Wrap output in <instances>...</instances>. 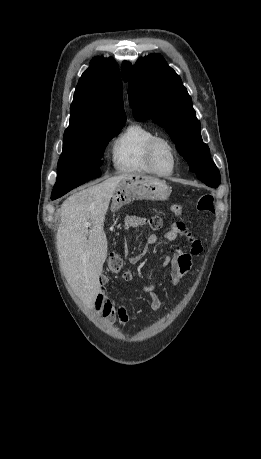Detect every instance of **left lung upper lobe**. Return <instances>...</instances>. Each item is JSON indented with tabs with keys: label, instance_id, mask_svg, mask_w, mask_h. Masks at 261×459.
Masks as SVG:
<instances>
[{
	"label": "left lung upper lobe",
	"instance_id": "1",
	"mask_svg": "<svg viewBox=\"0 0 261 459\" xmlns=\"http://www.w3.org/2000/svg\"><path fill=\"white\" fill-rule=\"evenodd\" d=\"M122 77L128 81L129 103L137 121L152 119L165 128L187 161L190 171L209 186L218 187L220 173L202 141L200 122L180 77L159 54L141 58L132 67L123 62Z\"/></svg>",
	"mask_w": 261,
	"mask_h": 459
}]
</instances>
